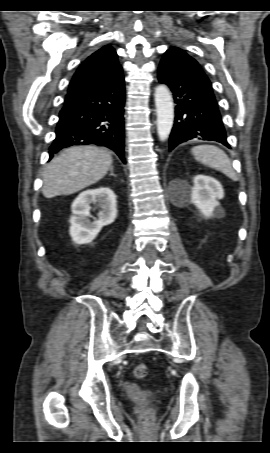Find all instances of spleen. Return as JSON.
Segmentation results:
<instances>
[{"mask_svg": "<svg viewBox=\"0 0 270 453\" xmlns=\"http://www.w3.org/2000/svg\"><path fill=\"white\" fill-rule=\"evenodd\" d=\"M191 152L198 162L224 173L234 181L238 180L229 157L219 147L203 144L193 147Z\"/></svg>", "mask_w": 270, "mask_h": 453, "instance_id": "spleen-1", "label": "spleen"}]
</instances>
